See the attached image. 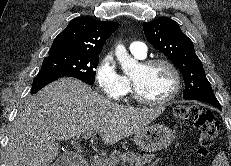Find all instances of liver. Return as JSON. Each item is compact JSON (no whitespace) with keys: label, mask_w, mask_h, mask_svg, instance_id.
<instances>
[{"label":"liver","mask_w":231,"mask_h":166,"mask_svg":"<svg viewBox=\"0 0 231 166\" xmlns=\"http://www.w3.org/2000/svg\"><path fill=\"white\" fill-rule=\"evenodd\" d=\"M164 107L135 108L99 95L82 81L60 78L27 100L12 124L5 166H48L58 141L99 132L112 145L155 120Z\"/></svg>","instance_id":"6515ba94"}]
</instances>
